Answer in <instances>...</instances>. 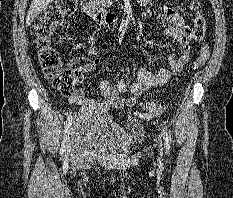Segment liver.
<instances>
[{"mask_svg":"<svg viewBox=\"0 0 233 198\" xmlns=\"http://www.w3.org/2000/svg\"><path fill=\"white\" fill-rule=\"evenodd\" d=\"M51 2H53V0H32L26 17V26L29 27L33 20L43 9L47 8Z\"/></svg>","mask_w":233,"mask_h":198,"instance_id":"6515ba94","label":"liver"}]
</instances>
